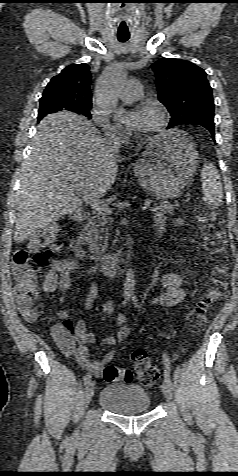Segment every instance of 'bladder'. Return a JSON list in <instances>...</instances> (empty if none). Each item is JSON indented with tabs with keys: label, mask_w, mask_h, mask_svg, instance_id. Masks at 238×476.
<instances>
[{
	"label": "bladder",
	"mask_w": 238,
	"mask_h": 476,
	"mask_svg": "<svg viewBox=\"0 0 238 476\" xmlns=\"http://www.w3.org/2000/svg\"><path fill=\"white\" fill-rule=\"evenodd\" d=\"M99 405L114 414L133 415L146 412L151 398L141 385L110 383L100 392Z\"/></svg>",
	"instance_id": "1"
}]
</instances>
